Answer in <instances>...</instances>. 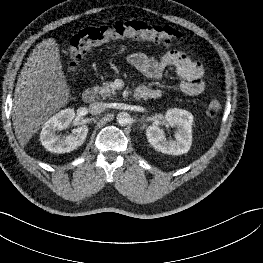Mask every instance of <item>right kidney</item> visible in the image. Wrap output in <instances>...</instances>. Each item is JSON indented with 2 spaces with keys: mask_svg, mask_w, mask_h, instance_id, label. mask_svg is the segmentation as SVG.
I'll return each instance as SVG.
<instances>
[{
  "mask_svg": "<svg viewBox=\"0 0 263 263\" xmlns=\"http://www.w3.org/2000/svg\"><path fill=\"white\" fill-rule=\"evenodd\" d=\"M75 118L73 109H64L52 116L42 127L40 141L45 149L54 153H68L83 144L88 133L86 125L72 130V134L66 137L58 135Z\"/></svg>",
  "mask_w": 263,
  "mask_h": 263,
  "instance_id": "1",
  "label": "right kidney"
}]
</instances>
